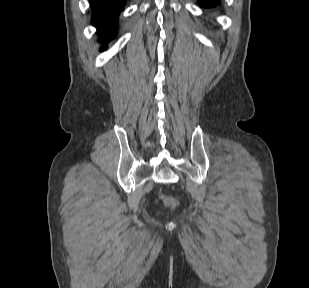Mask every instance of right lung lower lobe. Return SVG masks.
I'll return each instance as SVG.
<instances>
[{
	"label": "right lung lower lobe",
	"instance_id": "right-lung-lower-lobe-1",
	"mask_svg": "<svg viewBox=\"0 0 309 288\" xmlns=\"http://www.w3.org/2000/svg\"><path fill=\"white\" fill-rule=\"evenodd\" d=\"M92 23L98 29L100 39L108 42L116 35L118 16L126 0H89Z\"/></svg>",
	"mask_w": 309,
	"mask_h": 288
}]
</instances>
